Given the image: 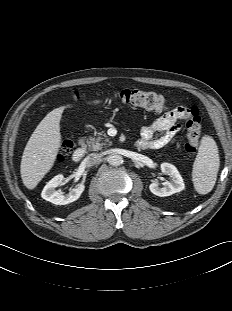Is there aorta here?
<instances>
[{"label":"aorta","mask_w":232,"mask_h":311,"mask_svg":"<svg viewBox=\"0 0 232 311\" xmlns=\"http://www.w3.org/2000/svg\"><path fill=\"white\" fill-rule=\"evenodd\" d=\"M108 162L112 166H119V165H121L123 163V158L119 154H111L108 157Z\"/></svg>","instance_id":"aorta-1"}]
</instances>
